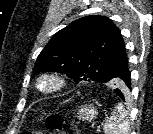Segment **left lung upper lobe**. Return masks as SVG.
Listing matches in <instances>:
<instances>
[{
	"instance_id": "5c2ea615",
	"label": "left lung upper lobe",
	"mask_w": 153,
	"mask_h": 134,
	"mask_svg": "<svg viewBox=\"0 0 153 134\" xmlns=\"http://www.w3.org/2000/svg\"><path fill=\"white\" fill-rule=\"evenodd\" d=\"M127 66L122 35L104 16H87L58 31L39 54L34 74L57 71L77 82L108 83L127 93L117 74Z\"/></svg>"
}]
</instances>
